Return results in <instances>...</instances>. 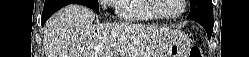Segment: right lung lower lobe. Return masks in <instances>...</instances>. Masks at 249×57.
<instances>
[{
	"label": "right lung lower lobe",
	"instance_id": "right-lung-lower-lobe-1",
	"mask_svg": "<svg viewBox=\"0 0 249 57\" xmlns=\"http://www.w3.org/2000/svg\"><path fill=\"white\" fill-rule=\"evenodd\" d=\"M77 1L78 0H46L44 4V10L42 13V20H41L42 25L54 12H56L60 8L68 4H73V3L80 4Z\"/></svg>",
	"mask_w": 249,
	"mask_h": 57
}]
</instances>
